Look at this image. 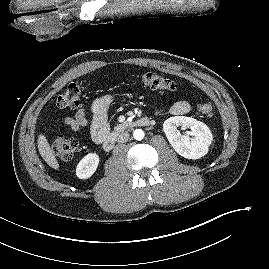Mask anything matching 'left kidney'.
<instances>
[{"mask_svg": "<svg viewBox=\"0 0 269 269\" xmlns=\"http://www.w3.org/2000/svg\"><path fill=\"white\" fill-rule=\"evenodd\" d=\"M179 126L191 131L181 135L177 129ZM163 130L174 150L187 159L196 160L205 156L213 141L212 133L206 124L186 116L168 118L163 124Z\"/></svg>", "mask_w": 269, "mask_h": 269, "instance_id": "left-kidney-1", "label": "left kidney"}]
</instances>
